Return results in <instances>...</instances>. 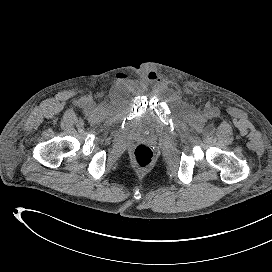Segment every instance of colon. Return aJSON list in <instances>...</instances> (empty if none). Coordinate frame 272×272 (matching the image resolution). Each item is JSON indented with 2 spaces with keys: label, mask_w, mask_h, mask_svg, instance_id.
Masks as SVG:
<instances>
[{
  "label": "colon",
  "mask_w": 272,
  "mask_h": 272,
  "mask_svg": "<svg viewBox=\"0 0 272 272\" xmlns=\"http://www.w3.org/2000/svg\"><path fill=\"white\" fill-rule=\"evenodd\" d=\"M132 163L139 168L149 167L154 160V154L150 147L138 145L131 155Z\"/></svg>",
  "instance_id": "5ec220e1"
}]
</instances>
